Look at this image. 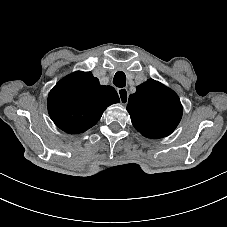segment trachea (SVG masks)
<instances>
[{
    "mask_svg": "<svg viewBox=\"0 0 227 227\" xmlns=\"http://www.w3.org/2000/svg\"><path fill=\"white\" fill-rule=\"evenodd\" d=\"M113 84L116 87L123 88L126 86V75L122 71L116 72L113 79Z\"/></svg>",
    "mask_w": 227,
    "mask_h": 227,
    "instance_id": "3493384b",
    "label": "trachea"
}]
</instances>
